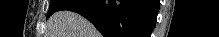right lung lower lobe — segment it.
<instances>
[{"label":"right lung lower lobe","instance_id":"1","mask_svg":"<svg viewBox=\"0 0 219 37\" xmlns=\"http://www.w3.org/2000/svg\"><path fill=\"white\" fill-rule=\"evenodd\" d=\"M158 0H73L61 6L88 19L104 37H150Z\"/></svg>","mask_w":219,"mask_h":37}]
</instances>
